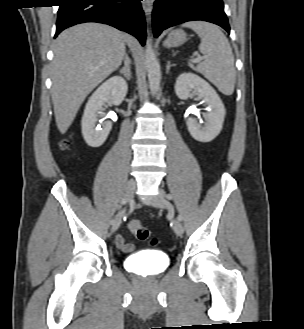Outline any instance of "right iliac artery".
I'll use <instances>...</instances> for the list:
<instances>
[{"label": "right iliac artery", "mask_w": 304, "mask_h": 329, "mask_svg": "<svg viewBox=\"0 0 304 329\" xmlns=\"http://www.w3.org/2000/svg\"><path fill=\"white\" fill-rule=\"evenodd\" d=\"M121 205H124V204H126L127 203V199L124 197V198H122V200H121ZM117 218V217H116ZM116 218H114V219H112L111 221H110V223L111 224H114V222H115V220H116Z\"/></svg>", "instance_id": "obj_1"}]
</instances>
